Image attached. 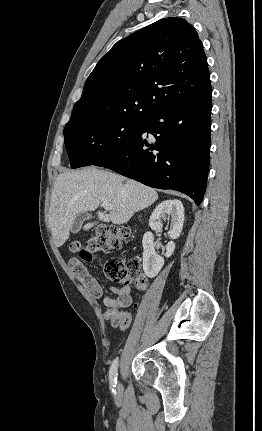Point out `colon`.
Returning a JSON list of instances; mask_svg holds the SVG:
<instances>
[{
	"instance_id": "1",
	"label": "colon",
	"mask_w": 262,
	"mask_h": 431,
	"mask_svg": "<svg viewBox=\"0 0 262 431\" xmlns=\"http://www.w3.org/2000/svg\"><path fill=\"white\" fill-rule=\"evenodd\" d=\"M131 234V229L128 227L102 224L85 242H72L70 251L77 254L80 261H91L97 253H106L122 247L130 239ZM76 270H80V266H77ZM103 272L105 277L113 282H134L137 288L145 286L144 277L140 273V263L137 259L125 261L112 258L104 264ZM107 319L114 327L124 329L130 325V317L126 313L120 312V314L107 317Z\"/></svg>"
}]
</instances>
